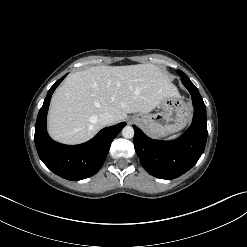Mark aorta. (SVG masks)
Here are the masks:
<instances>
[{
    "mask_svg": "<svg viewBox=\"0 0 247 247\" xmlns=\"http://www.w3.org/2000/svg\"><path fill=\"white\" fill-rule=\"evenodd\" d=\"M134 129L133 127L131 126H125L123 129H122V136L124 138H133L134 137Z\"/></svg>",
    "mask_w": 247,
    "mask_h": 247,
    "instance_id": "obj_1",
    "label": "aorta"
}]
</instances>
